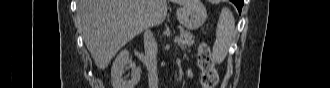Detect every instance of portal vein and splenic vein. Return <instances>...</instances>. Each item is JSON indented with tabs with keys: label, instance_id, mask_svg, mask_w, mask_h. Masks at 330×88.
Instances as JSON below:
<instances>
[{
	"label": "portal vein and splenic vein",
	"instance_id": "1",
	"mask_svg": "<svg viewBox=\"0 0 330 88\" xmlns=\"http://www.w3.org/2000/svg\"><path fill=\"white\" fill-rule=\"evenodd\" d=\"M178 41H179V38L176 37L175 40H174V42L176 43V42H178Z\"/></svg>",
	"mask_w": 330,
	"mask_h": 88
}]
</instances>
